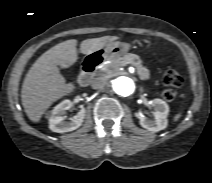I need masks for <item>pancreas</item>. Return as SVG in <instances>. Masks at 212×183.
Returning a JSON list of instances; mask_svg holds the SVG:
<instances>
[{"mask_svg":"<svg viewBox=\"0 0 212 183\" xmlns=\"http://www.w3.org/2000/svg\"><path fill=\"white\" fill-rule=\"evenodd\" d=\"M132 65L136 68L139 77L142 80H148L150 78V72L147 67L142 65V60L136 54L128 53L122 57L110 59V63L103 66L102 71L105 73H111L116 71L121 66Z\"/></svg>","mask_w":212,"mask_h":183,"instance_id":"pancreas-1","label":"pancreas"}]
</instances>
